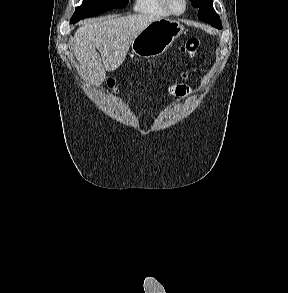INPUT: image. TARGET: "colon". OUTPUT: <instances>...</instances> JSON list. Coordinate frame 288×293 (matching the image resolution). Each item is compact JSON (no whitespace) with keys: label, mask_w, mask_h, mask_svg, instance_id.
Listing matches in <instances>:
<instances>
[{"label":"colon","mask_w":288,"mask_h":293,"mask_svg":"<svg viewBox=\"0 0 288 293\" xmlns=\"http://www.w3.org/2000/svg\"><path fill=\"white\" fill-rule=\"evenodd\" d=\"M202 46V42L196 38H191L189 40H187L182 46H181V51L186 54V55H189L191 57L195 56L199 49L201 48ZM107 85L108 87L113 90V91H116L117 90V87H116V84H115V81L112 80V79H109L107 81Z\"/></svg>","instance_id":"5ec220e1"}]
</instances>
